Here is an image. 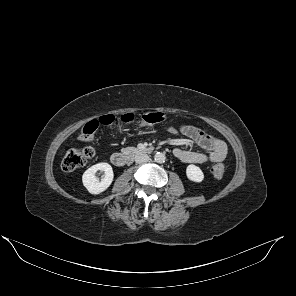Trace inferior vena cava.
<instances>
[{
	"label": "inferior vena cava",
	"mask_w": 296,
	"mask_h": 296,
	"mask_svg": "<svg viewBox=\"0 0 296 296\" xmlns=\"http://www.w3.org/2000/svg\"><path fill=\"white\" fill-rule=\"evenodd\" d=\"M149 156L144 153H139L135 156V162L138 164H143L149 161Z\"/></svg>",
	"instance_id": "1"
}]
</instances>
